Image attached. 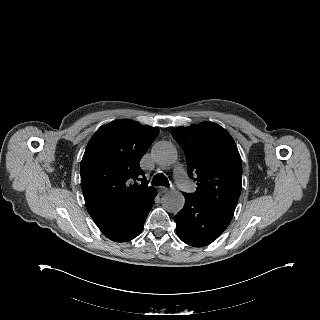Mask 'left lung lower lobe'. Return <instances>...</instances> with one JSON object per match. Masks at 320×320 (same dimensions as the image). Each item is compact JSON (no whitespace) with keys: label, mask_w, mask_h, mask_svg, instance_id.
<instances>
[{"label":"left lung lower lobe","mask_w":320,"mask_h":320,"mask_svg":"<svg viewBox=\"0 0 320 320\" xmlns=\"http://www.w3.org/2000/svg\"><path fill=\"white\" fill-rule=\"evenodd\" d=\"M184 197V207L174 217L178 237L194 247L212 243L227 228L233 216L188 193Z\"/></svg>","instance_id":"1"}]
</instances>
